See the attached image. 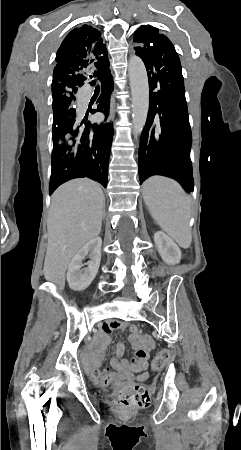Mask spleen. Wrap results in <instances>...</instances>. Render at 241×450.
<instances>
[{"mask_svg": "<svg viewBox=\"0 0 241 450\" xmlns=\"http://www.w3.org/2000/svg\"><path fill=\"white\" fill-rule=\"evenodd\" d=\"M143 200L158 226L171 236L180 248H190V198L178 182L152 176L142 186Z\"/></svg>", "mask_w": 241, "mask_h": 450, "instance_id": "3e777b00", "label": "spleen"}]
</instances>
